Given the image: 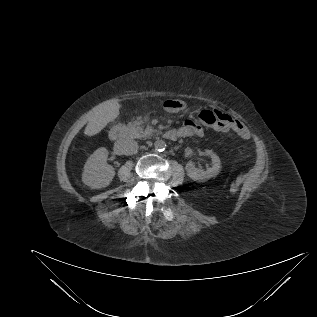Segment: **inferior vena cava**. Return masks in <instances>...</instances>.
<instances>
[{
    "instance_id": "obj_1",
    "label": "inferior vena cava",
    "mask_w": 317,
    "mask_h": 317,
    "mask_svg": "<svg viewBox=\"0 0 317 317\" xmlns=\"http://www.w3.org/2000/svg\"><path fill=\"white\" fill-rule=\"evenodd\" d=\"M115 147L118 149V151L121 154H124V155L135 154L137 153V150H138L137 142L131 138L119 139L118 141H116Z\"/></svg>"
}]
</instances>
